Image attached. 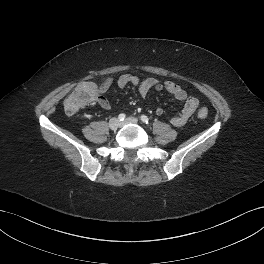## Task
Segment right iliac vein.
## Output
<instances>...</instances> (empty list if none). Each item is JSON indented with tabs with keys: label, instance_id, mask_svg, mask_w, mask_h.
Listing matches in <instances>:
<instances>
[{
	"label": "right iliac vein",
	"instance_id": "obj_1",
	"mask_svg": "<svg viewBox=\"0 0 264 264\" xmlns=\"http://www.w3.org/2000/svg\"><path fill=\"white\" fill-rule=\"evenodd\" d=\"M108 125H109L110 129L115 130V129H117L119 127L120 122H119V120L117 118H112V119H110Z\"/></svg>",
	"mask_w": 264,
	"mask_h": 264
}]
</instances>
